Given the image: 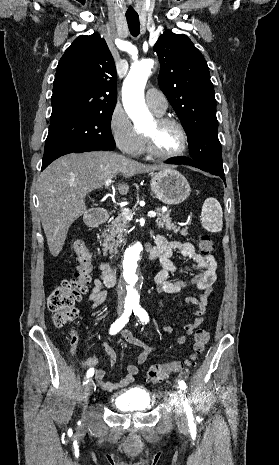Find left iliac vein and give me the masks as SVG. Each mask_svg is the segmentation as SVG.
Segmentation results:
<instances>
[{
	"label": "left iliac vein",
	"instance_id": "4c4485c4",
	"mask_svg": "<svg viewBox=\"0 0 279 465\" xmlns=\"http://www.w3.org/2000/svg\"><path fill=\"white\" fill-rule=\"evenodd\" d=\"M174 401L176 409V421L179 425L184 426L187 424V417L184 410V400L180 390L175 391Z\"/></svg>",
	"mask_w": 279,
	"mask_h": 465
}]
</instances>
